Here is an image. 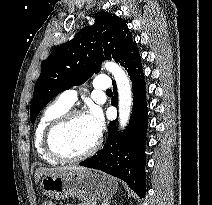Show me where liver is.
Returning a JSON list of instances; mask_svg holds the SVG:
<instances>
[{"label": "liver", "instance_id": "obj_1", "mask_svg": "<svg viewBox=\"0 0 212 205\" xmlns=\"http://www.w3.org/2000/svg\"><path fill=\"white\" fill-rule=\"evenodd\" d=\"M79 171V172H86L89 171L88 168L86 167H82V166H66V167H57V168H39L38 170H36L35 172V182L38 183L39 179L43 176V175H47V174H53V173H57L60 171Z\"/></svg>", "mask_w": 212, "mask_h": 205}]
</instances>
